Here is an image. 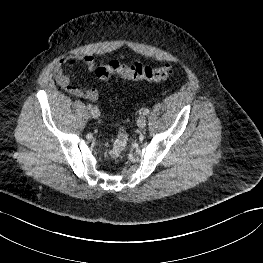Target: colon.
Wrapping results in <instances>:
<instances>
[{"instance_id":"1","label":"colon","mask_w":263,"mask_h":263,"mask_svg":"<svg viewBox=\"0 0 263 263\" xmlns=\"http://www.w3.org/2000/svg\"><path fill=\"white\" fill-rule=\"evenodd\" d=\"M172 73L173 67L170 64L152 67L141 63L125 64L116 60L99 66L95 70L96 76L101 80H106L113 75H117L128 80H145L150 82L163 81ZM127 143L128 133L124 128H121L109 148V156L111 158H118L126 150Z\"/></svg>"}]
</instances>
